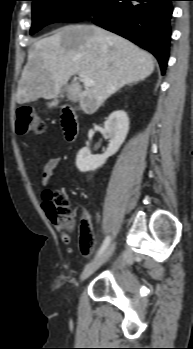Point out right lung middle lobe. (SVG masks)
<instances>
[{"label": "right lung middle lobe", "mask_w": 193, "mask_h": 349, "mask_svg": "<svg viewBox=\"0 0 193 349\" xmlns=\"http://www.w3.org/2000/svg\"><path fill=\"white\" fill-rule=\"evenodd\" d=\"M33 22L30 34L54 22L85 19L101 0H32Z\"/></svg>", "instance_id": "right-lung-middle-lobe-1"}]
</instances>
